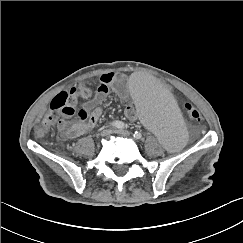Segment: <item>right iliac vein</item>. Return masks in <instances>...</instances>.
Wrapping results in <instances>:
<instances>
[{"mask_svg":"<svg viewBox=\"0 0 243 243\" xmlns=\"http://www.w3.org/2000/svg\"><path fill=\"white\" fill-rule=\"evenodd\" d=\"M111 133V131H110V129H103L102 131H101V133H100V136L101 137H106V136H108L109 134Z\"/></svg>","mask_w":243,"mask_h":243,"instance_id":"right-iliac-vein-1","label":"right iliac vein"}]
</instances>
